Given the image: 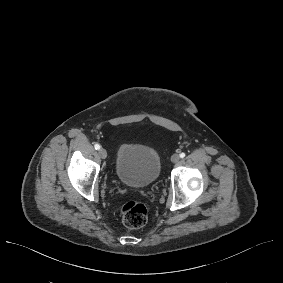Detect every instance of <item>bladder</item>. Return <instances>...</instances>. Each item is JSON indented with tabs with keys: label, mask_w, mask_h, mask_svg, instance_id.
<instances>
[{
	"label": "bladder",
	"mask_w": 283,
	"mask_h": 283,
	"mask_svg": "<svg viewBox=\"0 0 283 283\" xmlns=\"http://www.w3.org/2000/svg\"><path fill=\"white\" fill-rule=\"evenodd\" d=\"M160 154L150 146L122 141L115 160V172L122 184L147 187L158 177Z\"/></svg>",
	"instance_id": "bladder-1"
}]
</instances>
